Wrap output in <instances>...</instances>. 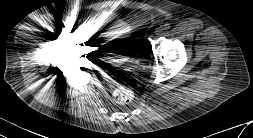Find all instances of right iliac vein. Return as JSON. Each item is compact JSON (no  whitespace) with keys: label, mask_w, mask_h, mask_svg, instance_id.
Masks as SVG:
<instances>
[{"label":"right iliac vein","mask_w":253,"mask_h":138,"mask_svg":"<svg viewBox=\"0 0 253 138\" xmlns=\"http://www.w3.org/2000/svg\"><path fill=\"white\" fill-rule=\"evenodd\" d=\"M73 31H74L75 33H79V32H80V28H79L78 26H74V27H73Z\"/></svg>","instance_id":"63e3f726"}]
</instances>
